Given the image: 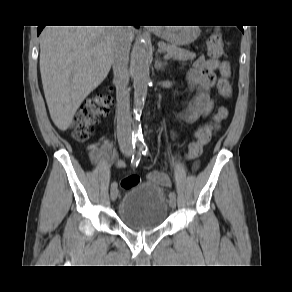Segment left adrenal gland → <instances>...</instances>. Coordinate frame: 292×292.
<instances>
[{
	"label": "left adrenal gland",
	"mask_w": 292,
	"mask_h": 292,
	"mask_svg": "<svg viewBox=\"0 0 292 292\" xmlns=\"http://www.w3.org/2000/svg\"><path fill=\"white\" fill-rule=\"evenodd\" d=\"M167 65V61H161L158 57L157 60L155 61V69L158 70H163Z\"/></svg>",
	"instance_id": "obj_1"
}]
</instances>
